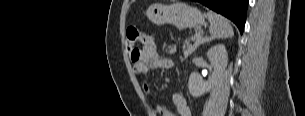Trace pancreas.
Wrapping results in <instances>:
<instances>
[{
    "label": "pancreas",
    "instance_id": "cf45deb5",
    "mask_svg": "<svg viewBox=\"0 0 305 116\" xmlns=\"http://www.w3.org/2000/svg\"><path fill=\"white\" fill-rule=\"evenodd\" d=\"M199 39H201V36L199 37ZM194 41H198V39L196 37L193 38ZM197 47V45L192 46L190 45L189 41H185L184 45H183V53L185 57H188Z\"/></svg>",
    "mask_w": 305,
    "mask_h": 116
}]
</instances>
